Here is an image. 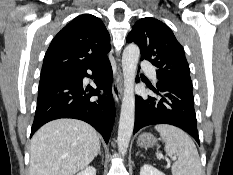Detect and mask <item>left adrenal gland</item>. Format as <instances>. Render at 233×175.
<instances>
[{"instance_id":"left-adrenal-gland-1","label":"left adrenal gland","mask_w":233,"mask_h":175,"mask_svg":"<svg viewBox=\"0 0 233 175\" xmlns=\"http://www.w3.org/2000/svg\"><path fill=\"white\" fill-rule=\"evenodd\" d=\"M141 157H144L143 154H140Z\"/></svg>"}]
</instances>
